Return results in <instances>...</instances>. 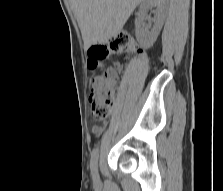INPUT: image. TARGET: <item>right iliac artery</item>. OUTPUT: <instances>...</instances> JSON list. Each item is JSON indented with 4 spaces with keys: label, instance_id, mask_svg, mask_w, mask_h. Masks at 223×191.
I'll list each match as a JSON object with an SVG mask.
<instances>
[{
    "label": "right iliac artery",
    "instance_id": "obj_1",
    "mask_svg": "<svg viewBox=\"0 0 223 191\" xmlns=\"http://www.w3.org/2000/svg\"><path fill=\"white\" fill-rule=\"evenodd\" d=\"M98 148L93 149L91 153L90 167L93 177H97Z\"/></svg>",
    "mask_w": 223,
    "mask_h": 191
}]
</instances>
